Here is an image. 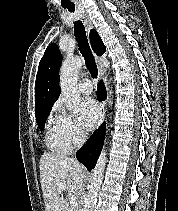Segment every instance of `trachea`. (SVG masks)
I'll return each mask as SVG.
<instances>
[{
	"mask_svg": "<svg viewBox=\"0 0 178 211\" xmlns=\"http://www.w3.org/2000/svg\"><path fill=\"white\" fill-rule=\"evenodd\" d=\"M64 8H67L68 11L70 12L75 11L74 6H67ZM74 34L78 42L80 53L85 59L86 66L92 78H97V75H98L97 65L95 63V60L90 50V46L86 37L85 27L80 20H77L76 22H74Z\"/></svg>",
	"mask_w": 178,
	"mask_h": 211,
	"instance_id": "3493384b",
	"label": "trachea"
}]
</instances>
